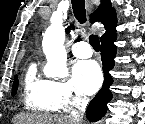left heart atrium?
Returning <instances> with one entry per match:
<instances>
[{
	"label": "left heart atrium",
	"instance_id": "39dd6f15",
	"mask_svg": "<svg viewBox=\"0 0 145 124\" xmlns=\"http://www.w3.org/2000/svg\"><path fill=\"white\" fill-rule=\"evenodd\" d=\"M74 76L79 88L86 94L96 92L102 83L100 67L92 60L77 63L74 67Z\"/></svg>",
	"mask_w": 145,
	"mask_h": 124
}]
</instances>
